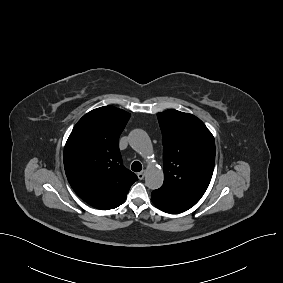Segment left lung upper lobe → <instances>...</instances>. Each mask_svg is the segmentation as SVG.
Here are the masks:
<instances>
[{"label":"left lung upper lobe","instance_id":"5c2ea615","mask_svg":"<svg viewBox=\"0 0 283 283\" xmlns=\"http://www.w3.org/2000/svg\"><path fill=\"white\" fill-rule=\"evenodd\" d=\"M163 136L164 183L158 189L188 210L203 196L213 174L215 142L196 116L176 110L157 114Z\"/></svg>","mask_w":283,"mask_h":283}]
</instances>
